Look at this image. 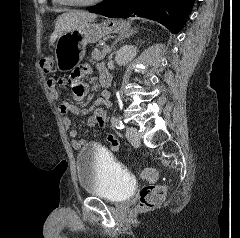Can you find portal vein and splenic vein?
I'll return each instance as SVG.
<instances>
[{"label":"portal vein and splenic vein","instance_id":"18ae733b","mask_svg":"<svg viewBox=\"0 0 240 238\" xmlns=\"http://www.w3.org/2000/svg\"><path fill=\"white\" fill-rule=\"evenodd\" d=\"M110 51V47L108 45H105L103 48V52L106 54Z\"/></svg>","mask_w":240,"mask_h":238}]
</instances>
